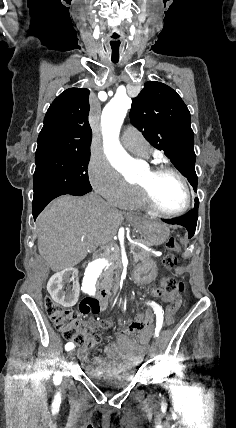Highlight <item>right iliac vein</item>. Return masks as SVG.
I'll list each match as a JSON object with an SVG mask.
<instances>
[{
	"mask_svg": "<svg viewBox=\"0 0 236 428\" xmlns=\"http://www.w3.org/2000/svg\"><path fill=\"white\" fill-rule=\"evenodd\" d=\"M70 355H71V356H74V355H75V352H74V351H71V352H70Z\"/></svg>",
	"mask_w": 236,
	"mask_h": 428,
	"instance_id": "63e3f726",
	"label": "right iliac vein"
}]
</instances>
